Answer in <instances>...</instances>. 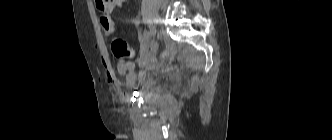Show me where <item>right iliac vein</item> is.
Listing matches in <instances>:
<instances>
[{"label":"right iliac vein","mask_w":332,"mask_h":140,"mask_svg":"<svg viewBox=\"0 0 332 140\" xmlns=\"http://www.w3.org/2000/svg\"><path fill=\"white\" fill-rule=\"evenodd\" d=\"M155 29L154 28H152L151 29V33H150V37H151V39L153 40V38L155 37Z\"/></svg>","instance_id":"63e3f726"}]
</instances>
